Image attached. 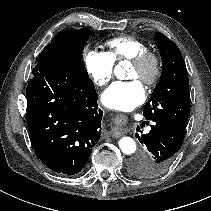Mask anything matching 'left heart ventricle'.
I'll return each instance as SVG.
<instances>
[{"label":"left heart ventricle","mask_w":211,"mask_h":211,"mask_svg":"<svg viewBox=\"0 0 211 211\" xmlns=\"http://www.w3.org/2000/svg\"><path fill=\"white\" fill-rule=\"evenodd\" d=\"M148 70L149 69H146L145 71H142V70L138 69L137 67H135L133 64H131L129 77L130 78H139L140 79L142 74L144 72H148Z\"/></svg>","instance_id":"b2bd125f"}]
</instances>
